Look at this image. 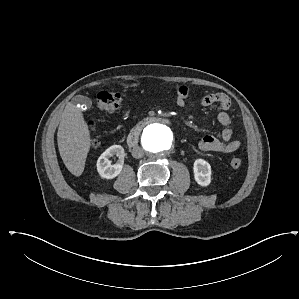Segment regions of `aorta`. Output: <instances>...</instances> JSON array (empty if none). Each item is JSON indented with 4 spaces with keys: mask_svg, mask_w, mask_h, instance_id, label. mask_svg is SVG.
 Wrapping results in <instances>:
<instances>
[{
    "mask_svg": "<svg viewBox=\"0 0 299 299\" xmlns=\"http://www.w3.org/2000/svg\"><path fill=\"white\" fill-rule=\"evenodd\" d=\"M141 142L148 155L158 156L172 148L173 133L166 125L151 124L144 129Z\"/></svg>",
    "mask_w": 299,
    "mask_h": 299,
    "instance_id": "obj_1",
    "label": "aorta"
}]
</instances>
